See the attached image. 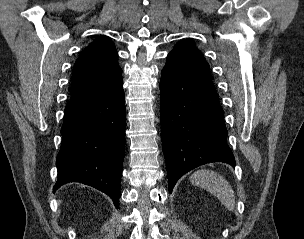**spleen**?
Segmentation results:
<instances>
[{
	"mask_svg": "<svg viewBox=\"0 0 304 239\" xmlns=\"http://www.w3.org/2000/svg\"><path fill=\"white\" fill-rule=\"evenodd\" d=\"M195 186L213 194L229 211L235 208V195L230 184L220 174L210 170H198L190 176Z\"/></svg>",
	"mask_w": 304,
	"mask_h": 239,
	"instance_id": "spleen-1",
	"label": "spleen"
}]
</instances>
